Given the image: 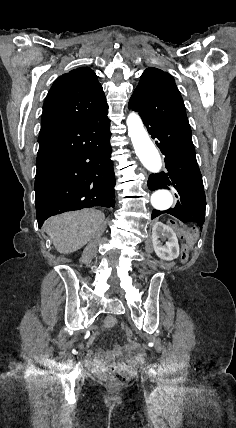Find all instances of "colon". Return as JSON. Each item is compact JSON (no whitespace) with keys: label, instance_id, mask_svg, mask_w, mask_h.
Here are the masks:
<instances>
[{"label":"colon","instance_id":"colon-1","mask_svg":"<svg viewBox=\"0 0 236 428\" xmlns=\"http://www.w3.org/2000/svg\"><path fill=\"white\" fill-rule=\"evenodd\" d=\"M125 334L126 336L131 339L133 334L132 331L125 327ZM129 381V375L125 372H114L113 374H111L110 378H109V383L111 385V387L113 388H119L125 384H127Z\"/></svg>","mask_w":236,"mask_h":428}]
</instances>
